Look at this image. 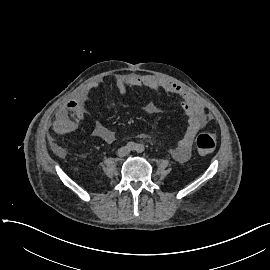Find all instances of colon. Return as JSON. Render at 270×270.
I'll return each instance as SVG.
<instances>
[{"mask_svg":"<svg viewBox=\"0 0 270 270\" xmlns=\"http://www.w3.org/2000/svg\"><path fill=\"white\" fill-rule=\"evenodd\" d=\"M196 147L201 155H207L216 147V137L213 133L201 134L196 139Z\"/></svg>","mask_w":270,"mask_h":270,"instance_id":"1","label":"colon"}]
</instances>
